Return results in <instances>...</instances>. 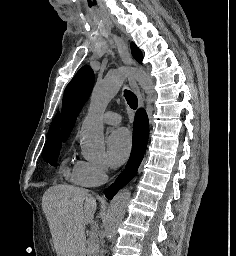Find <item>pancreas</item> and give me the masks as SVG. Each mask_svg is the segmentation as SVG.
I'll use <instances>...</instances> for the list:
<instances>
[{"instance_id": "cf45deb5", "label": "pancreas", "mask_w": 236, "mask_h": 256, "mask_svg": "<svg viewBox=\"0 0 236 256\" xmlns=\"http://www.w3.org/2000/svg\"><path fill=\"white\" fill-rule=\"evenodd\" d=\"M92 224H97V219H92ZM100 227L99 226H92L90 230V238L88 240V254H95L96 250L92 248H99V238H98V233H99Z\"/></svg>"}]
</instances>
